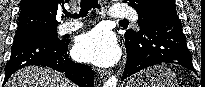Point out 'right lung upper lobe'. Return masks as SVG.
<instances>
[{
	"label": "right lung upper lobe",
	"instance_id": "1",
	"mask_svg": "<svg viewBox=\"0 0 205 87\" xmlns=\"http://www.w3.org/2000/svg\"><path fill=\"white\" fill-rule=\"evenodd\" d=\"M69 0H21L16 33L55 29L56 15Z\"/></svg>",
	"mask_w": 205,
	"mask_h": 87
}]
</instances>
